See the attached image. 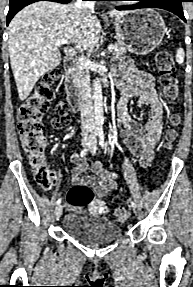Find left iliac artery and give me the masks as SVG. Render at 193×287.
Segmentation results:
<instances>
[{
	"instance_id": "obj_1",
	"label": "left iliac artery",
	"mask_w": 193,
	"mask_h": 287,
	"mask_svg": "<svg viewBox=\"0 0 193 287\" xmlns=\"http://www.w3.org/2000/svg\"><path fill=\"white\" fill-rule=\"evenodd\" d=\"M99 145L104 149L105 143H104V133H99ZM132 207L136 208V204L130 199L129 200Z\"/></svg>"
}]
</instances>
